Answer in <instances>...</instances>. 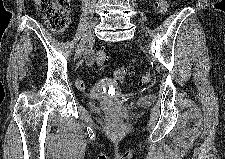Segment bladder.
Returning <instances> with one entry per match:
<instances>
[{"label": "bladder", "mask_w": 225, "mask_h": 159, "mask_svg": "<svg viewBox=\"0 0 225 159\" xmlns=\"http://www.w3.org/2000/svg\"><path fill=\"white\" fill-rule=\"evenodd\" d=\"M148 102H149L148 99H140V100L137 101V104L138 105H144ZM89 107L94 112H100V110H101V106H100V103L98 101L90 102Z\"/></svg>", "instance_id": "bladder-1"}]
</instances>
